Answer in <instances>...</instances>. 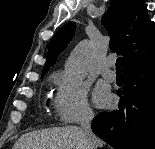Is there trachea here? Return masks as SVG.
<instances>
[{
  "label": "trachea",
  "mask_w": 155,
  "mask_h": 149,
  "mask_svg": "<svg viewBox=\"0 0 155 149\" xmlns=\"http://www.w3.org/2000/svg\"><path fill=\"white\" fill-rule=\"evenodd\" d=\"M121 61H122V58H117V60H116V70H119V71L122 70Z\"/></svg>",
  "instance_id": "obj_1"
}]
</instances>
